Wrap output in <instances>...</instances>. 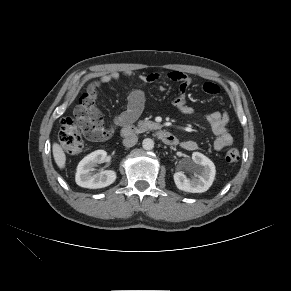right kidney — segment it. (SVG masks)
Returning a JSON list of instances; mask_svg holds the SVG:
<instances>
[{"label":"right kidney","instance_id":"1","mask_svg":"<svg viewBox=\"0 0 291 291\" xmlns=\"http://www.w3.org/2000/svg\"><path fill=\"white\" fill-rule=\"evenodd\" d=\"M107 153L104 150H96L84 157L77 166L75 180L77 185L97 189L111 185L116 180V172L113 170H105L97 174H92L97 164L106 161Z\"/></svg>","mask_w":291,"mask_h":291}]
</instances>
